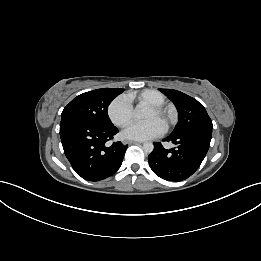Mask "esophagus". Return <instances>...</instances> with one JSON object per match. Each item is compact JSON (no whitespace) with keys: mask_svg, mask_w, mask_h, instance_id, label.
Wrapping results in <instances>:
<instances>
[{"mask_svg":"<svg viewBox=\"0 0 261 261\" xmlns=\"http://www.w3.org/2000/svg\"><path fill=\"white\" fill-rule=\"evenodd\" d=\"M128 143L130 144V145H138V144H142V142H140V141H133V140H131V141H128Z\"/></svg>","mask_w":261,"mask_h":261,"instance_id":"34e87169","label":"esophagus"}]
</instances>
